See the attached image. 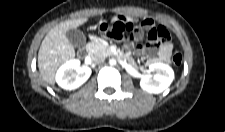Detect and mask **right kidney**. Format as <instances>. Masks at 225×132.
Returning a JSON list of instances; mask_svg holds the SVG:
<instances>
[{
	"instance_id": "1",
	"label": "right kidney",
	"mask_w": 225,
	"mask_h": 132,
	"mask_svg": "<svg viewBox=\"0 0 225 132\" xmlns=\"http://www.w3.org/2000/svg\"><path fill=\"white\" fill-rule=\"evenodd\" d=\"M91 73V68L81 66L79 60H70L58 69L56 82L63 89L74 90L85 83Z\"/></svg>"
}]
</instances>
